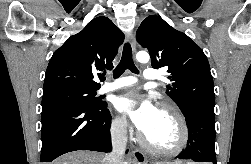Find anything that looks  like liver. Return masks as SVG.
I'll use <instances>...</instances> for the list:
<instances>
[{
	"instance_id": "liver-1",
	"label": "liver",
	"mask_w": 251,
	"mask_h": 164,
	"mask_svg": "<svg viewBox=\"0 0 251 164\" xmlns=\"http://www.w3.org/2000/svg\"><path fill=\"white\" fill-rule=\"evenodd\" d=\"M109 156L108 154H101L97 152L91 151H76L68 153L52 164H109ZM182 161H176L172 164H180ZM123 164H128L127 162H123ZM190 164V163H187Z\"/></svg>"
}]
</instances>
